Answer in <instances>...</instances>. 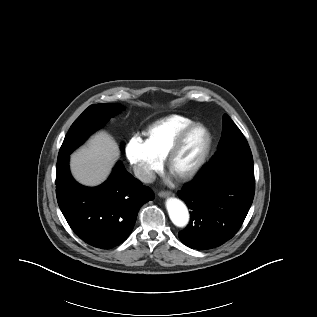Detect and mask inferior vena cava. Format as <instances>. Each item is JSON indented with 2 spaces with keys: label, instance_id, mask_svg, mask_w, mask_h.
Here are the masks:
<instances>
[{
  "label": "inferior vena cava",
  "instance_id": "1",
  "mask_svg": "<svg viewBox=\"0 0 317 317\" xmlns=\"http://www.w3.org/2000/svg\"><path fill=\"white\" fill-rule=\"evenodd\" d=\"M134 174L136 178L145 183H152L156 178L152 170L138 165L134 166Z\"/></svg>",
  "mask_w": 317,
  "mask_h": 317
}]
</instances>
